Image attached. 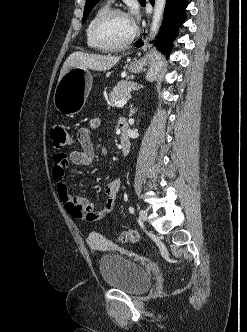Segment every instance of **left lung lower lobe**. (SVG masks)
<instances>
[{
    "label": "left lung lower lobe",
    "mask_w": 247,
    "mask_h": 332,
    "mask_svg": "<svg viewBox=\"0 0 247 332\" xmlns=\"http://www.w3.org/2000/svg\"><path fill=\"white\" fill-rule=\"evenodd\" d=\"M153 5L155 0H149ZM186 0H167L164 21L157 37V49L165 54H169L172 49V43L177 35L180 24L185 21ZM138 46V45H137Z\"/></svg>",
    "instance_id": "1"
}]
</instances>
